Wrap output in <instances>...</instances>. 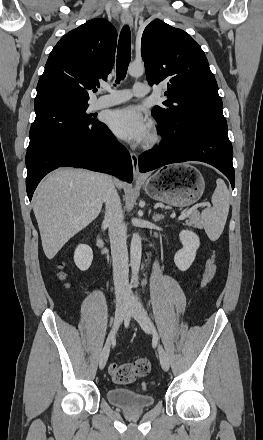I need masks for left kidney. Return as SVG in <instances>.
<instances>
[{
    "label": "left kidney",
    "mask_w": 263,
    "mask_h": 440,
    "mask_svg": "<svg viewBox=\"0 0 263 440\" xmlns=\"http://www.w3.org/2000/svg\"><path fill=\"white\" fill-rule=\"evenodd\" d=\"M183 248L174 256L175 265L181 271L190 268L196 257V251L200 246V240L196 233L190 230H182L179 234Z\"/></svg>",
    "instance_id": "5707ae66"
}]
</instances>
